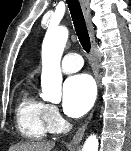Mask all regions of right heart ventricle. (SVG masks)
Instances as JSON below:
<instances>
[{
  "label": "right heart ventricle",
  "instance_id": "1",
  "mask_svg": "<svg viewBox=\"0 0 131 151\" xmlns=\"http://www.w3.org/2000/svg\"><path fill=\"white\" fill-rule=\"evenodd\" d=\"M47 106L31 91L21 94L16 109V123L23 137L41 140L53 131L47 119Z\"/></svg>",
  "mask_w": 131,
  "mask_h": 151
}]
</instances>
